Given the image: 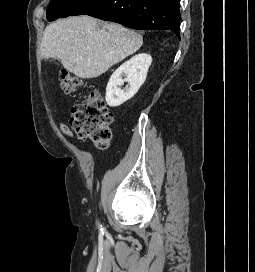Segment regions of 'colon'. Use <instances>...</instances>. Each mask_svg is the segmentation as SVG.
I'll use <instances>...</instances> for the list:
<instances>
[{
	"label": "colon",
	"instance_id": "5ec220e1",
	"mask_svg": "<svg viewBox=\"0 0 255 272\" xmlns=\"http://www.w3.org/2000/svg\"><path fill=\"white\" fill-rule=\"evenodd\" d=\"M62 90L76 94L83 88V81L65 69L59 71ZM113 114L106 107L101 95L92 91L71 110L70 126L77 136L89 140L97 148H107L112 140Z\"/></svg>",
	"mask_w": 255,
	"mask_h": 272
}]
</instances>
